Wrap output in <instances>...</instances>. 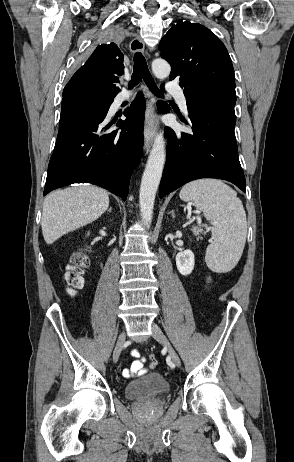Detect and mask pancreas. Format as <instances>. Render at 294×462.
Segmentation results:
<instances>
[{"mask_svg": "<svg viewBox=\"0 0 294 462\" xmlns=\"http://www.w3.org/2000/svg\"><path fill=\"white\" fill-rule=\"evenodd\" d=\"M192 233L196 236L197 240L201 239L200 234H203V229L200 225L191 228Z\"/></svg>", "mask_w": 294, "mask_h": 462, "instance_id": "pancreas-1", "label": "pancreas"}]
</instances>
